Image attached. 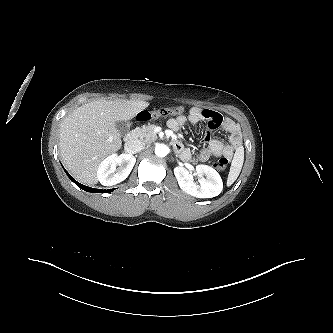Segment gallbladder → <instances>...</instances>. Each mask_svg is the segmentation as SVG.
<instances>
[{
  "instance_id": "bac80fb5",
  "label": "gallbladder",
  "mask_w": 333,
  "mask_h": 333,
  "mask_svg": "<svg viewBox=\"0 0 333 333\" xmlns=\"http://www.w3.org/2000/svg\"><path fill=\"white\" fill-rule=\"evenodd\" d=\"M115 125H116L118 132L121 135H125L128 133L131 124L129 121H120L119 120V121H116Z\"/></svg>"
}]
</instances>
